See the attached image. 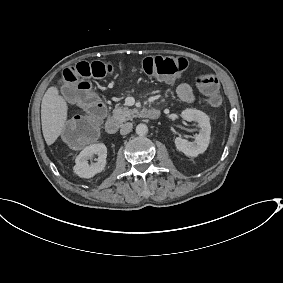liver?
<instances>
[{
	"label": "liver",
	"instance_id": "1",
	"mask_svg": "<svg viewBox=\"0 0 283 283\" xmlns=\"http://www.w3.org/2000/svg\"><path fill=\"white\" fill-rule=\"evenodd\" d=\"M67 103L56 87H50L41 104L42 132L47 145L53 144L60 136L67 119Z\"/></svg>",
	"mask_w": 283,
	"mask_h": 283
}]
</instances>
